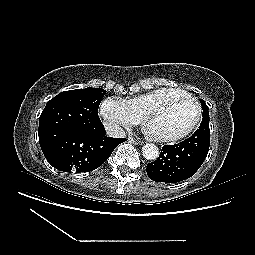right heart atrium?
I'll use <instances>...</instances> for the list:
<instances>
[{
    "label": "right heart atrium",
    "mask_w": 255,
    "mask_h": 255,
    "mask_svg": "<svg viewBox=\"0 0 255 255\" xmlns=\"http://www.w3.org/2000/svg\"><path fill=\"white\" fill-rule=\"evenodd\" d=\"M100 113L105 126L115 133H120L123 128H130L141 120L125 100L115 96L107 97L102 101Z\"/></svg>",
    "instance_id": "right-heart-atrium-1"
}]
</instances>
